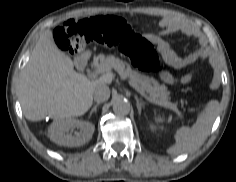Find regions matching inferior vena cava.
Here are the masks:
<instances>
[{"label": "inferior vena cava", "instance_id": "1", "mask_svg": "<svg viewBox=\"0 0 236 182\" xmlns=\"http://www.w3.org/2000/svg\"><path fill=\"white\" fill-rule=\"evenodd\" d=\"M96 102H104L110 97V89L105 84H97L93 93Z\"/></svg>", "mask_w": 236, "mask_h": 182}]
</instances>
